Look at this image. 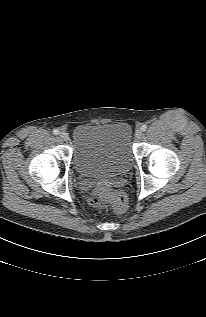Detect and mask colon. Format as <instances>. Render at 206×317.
I'll list each match as a JSON object with an SVG mask.
<instances>
[{"mask_svg": "<svg viewBox=\"0 0 206 317\" xmlns=\"http://www.w3.org/2000/svg\"><path fill=\"white\" fill-rule=\"evenodd\" d=\"M90 201L95 207L112 206L118 212H123L127 208L126 197L105 186H95L90 190Z\"/></svg>", "mask_w": 206, "mask_h": 317, "instance_id": "obj_1", "label": "colon"}]
</instances>
